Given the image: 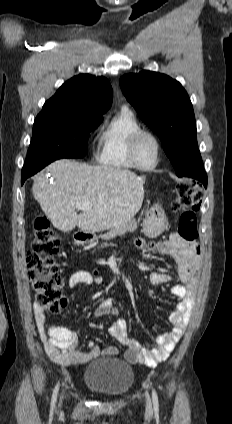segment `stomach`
<instances>
[{
	"instance_id": "obj_1",
	"label": "stomach",
	"mask_w": 232,
	"mask_h": 424,
	"mask_svg": "<svg viewBox=\"0 0 232 424\" xmlns=\"http://www.w3.org/2000/svg\"><path fill=\"white\" fill-rule=\"evenodd\" d=\"M168 226L163 208L156 204L147 213L143 221V232L148 238H155L159 236ZM82 242H93L92 238L84 239Z\"/></svg>"
}]
</instances>
